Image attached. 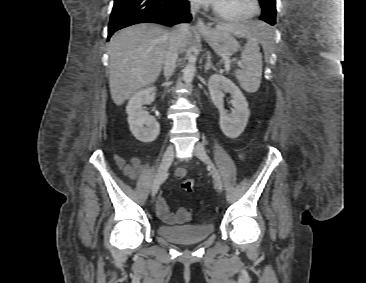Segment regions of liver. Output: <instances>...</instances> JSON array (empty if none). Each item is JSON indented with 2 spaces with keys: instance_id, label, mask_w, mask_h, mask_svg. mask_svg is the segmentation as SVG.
I'll list each match as a JSON object with an SVG mask.
<instances>
[{
  "instance_id": "liver-1",
  "label": "liver",
  "mask_w": 366,
  "mask_h": 283,
  "mask_svg": "<svg viewBox=\"0 0 366 283\" xmlns=\"http://www.w3.org/2000/svg\"><path fill=\"white\" fill-rule=\"evenodd\" d=\"M216 28L239 38H267L269 28L250 22L219 23ZM171 30L155 23H140L115 33L108 44L109 87L112 100L122 105L139 89L154 83L162 69ZM188 31L182 41L185 49Z\"/></svg>"
}]
</instances>
